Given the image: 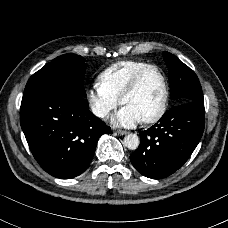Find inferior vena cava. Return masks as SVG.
<instances>
[{
  "mask_svg": "<svg viewBox=\"0 0 228 228\" xmlns=\"http://www.w3.org/2000/svg\"><path fill=\"white\" fill-rule=\"evenodd\" d=\"M93 113L98 116V117H105L106 116V111L102 110V109H96V108H93L92 109Z\"/></svg>",
  "mask_w": 228,
  "mask_h": 228,
  "instance_id": "obj_1",
  "label": "inferior vena cava"
}]
</instances>
